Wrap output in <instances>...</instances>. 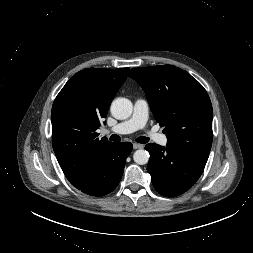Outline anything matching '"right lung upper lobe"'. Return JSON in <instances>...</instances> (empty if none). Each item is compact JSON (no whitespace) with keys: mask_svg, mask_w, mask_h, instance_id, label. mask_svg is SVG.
Listing matches in <instances>:
<instances>
[{"mask_svg":"<svg viewBox=\"0 0 253 253\" xmlns=\"http://www.w3.org/2000/svg\"><path fill=\"white\" fill-rule=\"evenodd\" d=\"M129 68H87L72 76L54 100L52 146L66 178L73 182L88 169L107 138L96 130L107 116Z\"/></svg>","mask_w":253,"mask_h":253,"instance_id":"obj_1","label":"right lung upper lobe"}]
</instances>
